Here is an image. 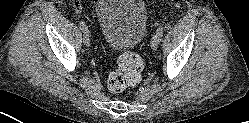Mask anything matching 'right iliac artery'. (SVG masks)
Returning <instances> with one entry per match:
<instances>
[{"mask_svg":"<svg viewBox=\"0 0 249 123\" xmlns=\"http://www.w3.org/2000/svg\"><path fill=\"white\" fill-rule=\"evenodd\" d=\"M79 27H80V29L82 30V31H86V32H89V30H88V27H87V25L84 23V22H79Z\"/></svg>","mask_w":249,"mask_h":123,"instance_id":"right-iliac-artery-1","label":"right iliac artery"}]
</instances>
